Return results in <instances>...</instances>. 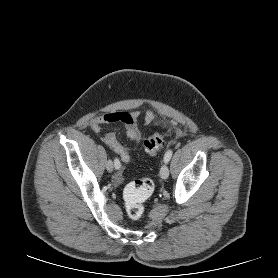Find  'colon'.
<instances>
[{"label": "colon", "instance_id": "1", "mask_svg": "<svg viewBox=\"0 0 278 278\" xmlns=\"http://www.w3.org/2000/svg\"><path fill=\"white\" fill-rule=\"evenodd\" d=\"M164 143V135L154 133L144 141V149L150 155H156ZM154 190V182L150 178H141L129 183L124 190L125 208L132 220L142 218L145 202Z\"/></svg>", "mask_w": 278, "mask_h": 278}]
</instances>
